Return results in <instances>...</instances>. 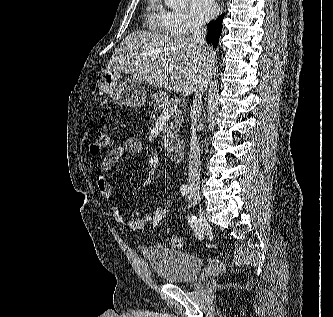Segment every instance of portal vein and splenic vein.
Instances as JSON below:
<instances>
[{"label": "portal vein and splenic vein", "mask_w": 333, "mask_h": 317, "mask_svg": "<svg viewBox=\"0 0 333 317\" xmlns=\"http://www.w3.org/2000/svg\"><path fill=\"white\" fill-rule=\"evenodd\" d=\"M178 110V106L177 105H165L163 107L162 110V115L168 116L173 114L174 112H176Z\"/></svg>", "instance_id": "portal-vein-and-splenic-vein-1"}]
</instances>
